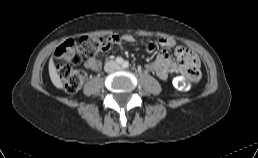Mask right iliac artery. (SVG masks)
I'll return each instance as SVG.
<instances>
[{"label":"right iliac artery","instance_id":"right-iliac-artery-1","mask_svg":"<svg viewBox=\"0 0 258 158\" xmlns=\"http://www.w3.org/2000/svg\"><path fill=\"white\" fill-rule=\"evenodd\" d=\"M116 62L118 63V64H123V59L121 58V57H117L116 58Z\"/></svg>","mask_w":258,"mask_h":158}]
</instances>
